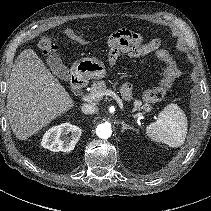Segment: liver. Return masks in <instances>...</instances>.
Returning <instances> with one entry per match:
<instances>
[{
    "instance_id": "6515ba94",
    "label": "liver",
    "mask_w": 211,
    "mask_h": 211,
    "mask_svg": "<svg viewBox=\"0 0 211 211\" xmlns=\"http://www.w3.org/2000/svg\"><path fill=\"white\" fill-rule=\"evenodd\" d=\"M73 106L35 51L23 50L12 68L7 95V117L15 136L28 139Z\"/></svg>"
}]
</instances>
